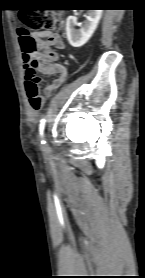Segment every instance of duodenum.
I'll list each match as a JSON object with an SVG mask.
<instances>
[{"label": "duodenum", "instance_id": "obj_1", "mask_svg": "<svg viewBox=\"0 0 145 278\" xmlns=\"http://www.w3.org/2000/svg\"><path fill=\"white\" fill-rule=\"evenodd\" d=\"M51 94H52V92L51 91H46L45 93H44V95H45V97H50L51 96Z\"/></svg>", "mask_w": 145, "mask_h": 278}]
</instances>
